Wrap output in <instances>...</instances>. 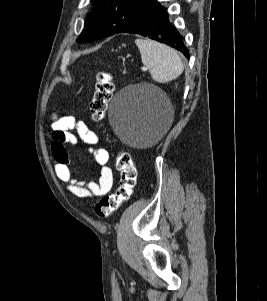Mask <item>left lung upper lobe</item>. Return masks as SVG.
Wrapping results in <instances>:
<instances>
[{"label":"left lung upper lobe","instance_id":"left-lung-upper-lobe-1","mask_svg":"<svg viewBox=\"0 0 267 301\" xmlns=\"http://www.w3.org/2000/svg\"><path fill=\"white\" fill-rule=\"evenodd\" d=\"M92 14L85 20L86 30L78 41L100 40L119 33L138 22L159 5L156 0H90Z\"/></svg>","mask_w":267,"mask_h":301}]
</instances>
